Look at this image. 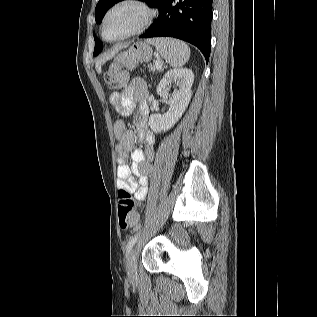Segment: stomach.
<instances>
[{
    "instance_id": "stomach-1",
    "label": "stomach",
    "mask_w": 317,
    "mask_h": 317,
    "mask_svg": "<svg viewBox=\"0 0 317 317\" xmlns=\"http://www.w3.org/2000/svg\"><path fill=\"white\" fill-rule=\"evenodd\" d=\"M117 57H123L127 68L134 66H146V62L152 58V49L147 43L137 42L132 44L126 51L121 52Z\"/></svg>"
}]
</instances>
